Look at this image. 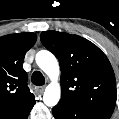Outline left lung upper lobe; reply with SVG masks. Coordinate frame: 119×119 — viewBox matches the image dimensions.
<instances>
[{"label": "left lung upper lobe", "mask_w": 119, "mask_h": 119, "mask_svg": "<svg viewBox=\"0 0 119 119\" xmlns=\"http://www.w3.org/2000/svg\"><path fill=\"white\" fill-rule=\"evenodd\" d=\"M41 42L59 60V103L79 110L113 113L117 99L115 75L96 45L78 35L57 31L42 32Z\"/></svg>", "instance_id": "left-lung-upper-lobe-1"}]
</instances>
